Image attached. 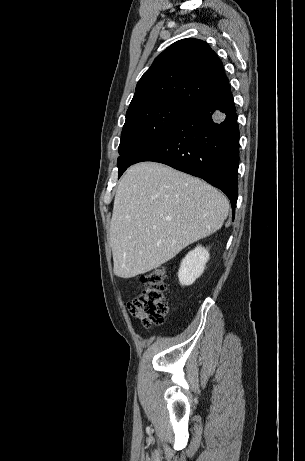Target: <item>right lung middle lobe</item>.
Returning <instances> with one entry per match:
<instances>
[{
	"label": "right lung middle lobe",
	"instance_id": "obj_1",
	"mask_svg": "<svg viewBox=\"0 0 305 461\" xmlns=\"http://www.w3.org/2000/svg\"><path fill=\"white\" fill-rule=\"evenodd\" d=\"M189 107L166 102L127 113L119 145V172L163 138Z\"/></svg>",
	"mask_w": 305,
	"mask_h": 461
}]
</instances>
